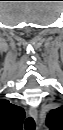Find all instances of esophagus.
I'll list each match as a JSON object with an SVG mask.
<instances>
[{
	"label": "esophagus",
	"mask_w": 63,
	"mask_h": 130,
	"mask_svg": "<svg viewBox=\"0 0 63 130\" xmlns=\"http://www.w3.org/2000/svg\"><path fill=\"white\" fill-rule=\"evenodd\" d=\"M29 114H30V116H31L32 118H34L35 120H36L37 117H38V111H37V109H36L35 107H31V108L29 109Z\"/></svg>",
	"instance_id": "obj_1"
}]
</instances>
